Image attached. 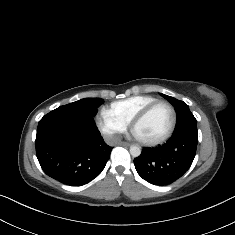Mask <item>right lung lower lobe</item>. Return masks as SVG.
I'll return each mask as SVG.
<instances>
[{
	"label": "right lung lower lobe",
	"instance_id": "obj_1",
	"mask_svg": "<svg viewBox=\"0 0 235 235\" xmlns=\"http://www.w3.org/2000/svg\"><path fill=\"white\" fill-rule=\"evenodd\" d=\"M111 147L100 135L93 117L55 109L38 123L36 155L43 171L71 186L97 177L110 158Z\"/></svg>",
	"mask_w": 235,
	"mask_h": 235
}]
</instances>
